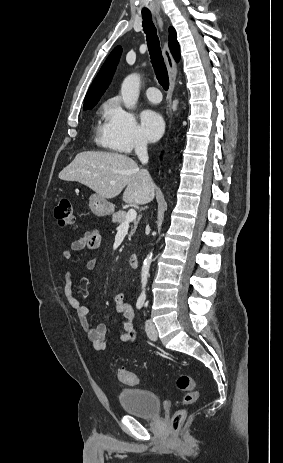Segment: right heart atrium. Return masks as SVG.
Here are the masks:
<instances>
[{"label":"right heart atrium","mask_w":283,"mask_h":463,"mask_svg":"<svg viewBox=\"0 0 283 463\" xmlns=\"http://www.w3.org/2000/svg\"><path fill=\"white\" fill-rule=\"evenodd\" d=\"M105 135L109 143L121 152L146 147L135 116L124 109L119 102H111L106 109Z\"/></svg>","instance_id":"right-heart-atrium-1"}]
</instances>
